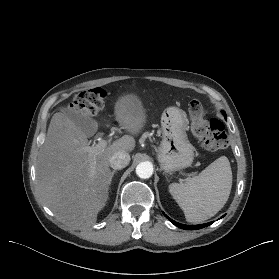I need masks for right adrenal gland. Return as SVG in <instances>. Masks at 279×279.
Instances as JSON below:
<instances>
[{"instance_id":"obj_1","label":"right adrenal gland","mask_w":279,"mask_h":279,"mask_svg":"<svg viewBox=\"0 0 279 279\" xmlns=\"http://www.w3.org/2000/svg\"><path fill=\"white\" fill-rule=\"evenodd\" d=\"M115 172H116V170H113V171L111 172L110 180H112V178H113Z\"/></svg>"}]
</instances>
